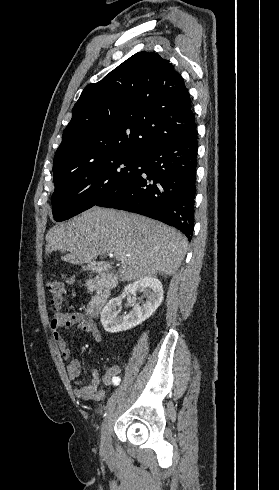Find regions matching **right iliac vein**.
Returning <instances> with one entry per match:
<instances>
[{
  "label": "right iliac vein",
  "instance_id": "1",
  "mask_svg": "<svg viewBox=\"0 0 279 490\" xmlns=\"http://www.w3.org/2000/svg\"><path fill=\"white\" fill-rule=\"evenodd\" d=\"M119 394L120 391L117 390L108 399L107 406H106V416L101 430V440H100L101 453L107 457H109L110 453L112 452L111 427L114 421V409L116 407Z\"/></svg>",
  "mask_w": 279,
  "mask_h": 490
}]
</instances>
